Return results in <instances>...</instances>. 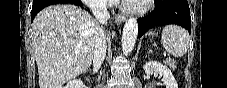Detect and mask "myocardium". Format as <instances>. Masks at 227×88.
I'll list each match as a JSON object with an SVG mask.
<instances>
[{"label":"myocardium","instance_id":"f54148a6","mask_svg":"<svg viewBox=\"0 0 227 88\" xmlns=\"http://www.w3.org/2000/svg\"><path fill=\"white\" fill-rule=\"evenodd\" d=\"M152 2L153 0H143L138 4L126 7L124 11L131 14H142L149 9Z\"/></svg>","mask_w":227,"mask_h":88}]
</instances>
